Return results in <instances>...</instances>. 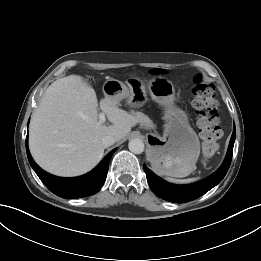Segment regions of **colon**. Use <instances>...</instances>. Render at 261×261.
<instances>
[{
	"label": "colon",
	"instance_id": "colon-1",
	"mask_svg": "<svg viewBox=\"0 0 261 261\" xmlns=\"http://www.w3.org/2000/svg\"><path fill=\"white\" fill-rule=\"evenodd\" d=\"M192 107L197 114V125L203 141L202 153L204 157L209 158L217 151V141L222 131L215 89L205 82L201 75L194 78Z\"/></svg>",
	"mask_w": 261,
	"mask_h": 261
}]
</instances>
